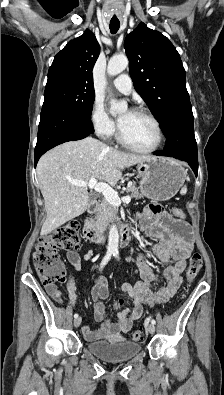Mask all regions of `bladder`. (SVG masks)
Returning <instances> with one entry per match:
<instances>
[{
  "label": "bladder",
  "instance_id": "bladder-1",
  "mask_svg": "<svg viewBox=\"0 0 224 395\" xmlns=\"http://www.w3.org/2000/svg\"><path fill=\"white\" fill-rule=\"evenodd\" d=\"M85 347L92 355L114 363L131 360L141 351L139 343L126 337L90 342Z\"/></svg>",
  "mask_w": 224,
  "mask_h": 395
}]
</instances>
